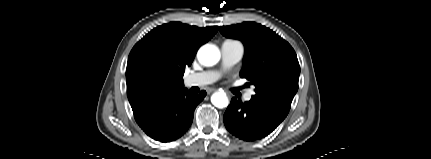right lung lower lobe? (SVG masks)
<instances>
[{"label":"right lung lower lobe","instance_id":"right-lung-lower-lobe-1","mask_svg":"<svg viewBox=\"0 0 431 159\" xmlns=\"http://www.w3.org/2000/svg\"><path fill=\"white\" fill-rule=\"evenodd\" d=\"M205 96V91L194 95L184 88L152 102L134 117L151 138L164 143L174 141L188 130L194 110Z\"/></svg>","mask_w":431,"mask_h":159}]
</instances>
